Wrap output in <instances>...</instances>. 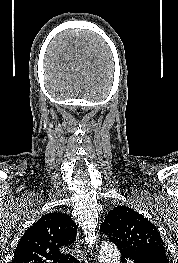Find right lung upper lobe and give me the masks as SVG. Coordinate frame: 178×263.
Returning a JSON list of instances; mask_svg holds the SVG:
<instances>
[{
	"label": "right lung upper lobe",
	"instance_id": "obj_1",
	"mask_svg": "<svg viewBox=\"0 0 178 263\" xmlns=\"http://www.w3.org/2000/svg\"><path fill=\"white\" fill-rule=\"evenodd\" d=\"M77 226L70 216L49 213L35 222L21 237L12 263H76L61 249L76 241Z\"/></svg>",
	"mask_w": 178,
	"mask_h": 263
}]
</instances>
